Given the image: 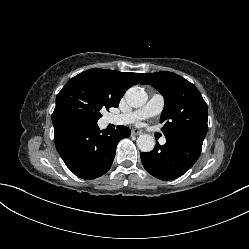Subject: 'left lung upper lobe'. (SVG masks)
Masks as SVG:
<instances>
[{
	"label": "left lung upper lobe",
	"mask_w": 249,
	"mask_h": 249,
	"mask_svg": "<svg viewBox=\"0 0 249 249\" xmlns=\"http://www.w3.org/2000/svg\"><path fill=\"white\" fill-rule=\"evenodd\" d=\"M142 84H149L164 97L160 122L166 138L193 136L204 140L207 125V104L198 89L183 77L167 71L145 74Z\"/></svg>",
	"instance_id": "left-lung-upper-lobe-1"
}]
</instances>
